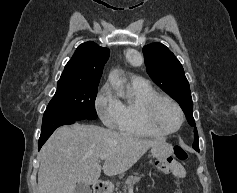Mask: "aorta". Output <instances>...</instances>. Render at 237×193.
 Masks as SVG:
<instances>
[{
  "instance_id": "762f6f07",
  "label": "aorta",
  "mask_w": 237,
  "mask_h": 193,
  "mask_svg": "<svg viewBox=\"0 0 237 193\" xmlns=\"http://www.w3.org/2000/svg\"><path fill=\"white\" fill-rule=\"evenodd\" d=\"M109 81L114 86L120 85V79H119V74L117 70H114L110 73Z\"/></svg>"
}]
</instances>
